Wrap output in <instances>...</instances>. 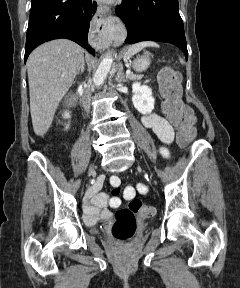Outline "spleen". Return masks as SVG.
<instances>
[{
    "label": "spleen",
    "mask_w": 240,
    "mask_h": 288,
    "mask_svg": "<svg viewBox=\"0 0 240 288\" xmlns=\"http://www.w3.org/2000/svg\"><path fill=\"white\" fill-rule=\"evenodd\" d=\"M145 47H159V45L154 41H143V42L136 43L130 46L129 49L127 50L125 54L126 59H129L130 57H132L133 55H135L136 53H138Z\"/></svg>",
    "instance_id": "3e777b00"
}]
</instances>
